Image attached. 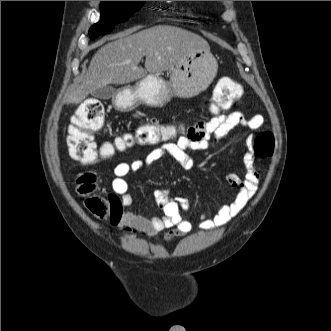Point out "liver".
<instances>
[{"mask_svg": "<svg viewBox=\"0 0 331 331\" xmlns=\"http://www.w3.org/2000/svg\"><path fill=\"white\" fill-rule=\"evenodd\" d=\"M131 33L120 34L95 53L80 85L66 97V103H81L94 90L108 84H127L147 73L157 75L172 70L189 53L209 46L201 36L174 26L158 25ZM144 56L142 68L138 64Z\"/></svg>", "mask_w": 331, "mask_h": 331, "instance_id": "6515ba94", "label": "liver"}]
</instances>
